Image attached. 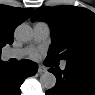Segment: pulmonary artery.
I'll return each mask as SVG.
<instances>
[{
    "instance_id": "e3ab8cb5",
    "label": "pulmonary artery",
    "mask_w": 95,
    "mask_h": 95,
    "mask_svg": "<svg viewBox=\"0 0 95 95\" xmlns=\"http://www.w3.org/2000/svg\"><path fill=\"white\" fill-rule=\"evenodd\" d=\"M50 35V27L45 22H37L33 26V38L36 42H41L46 40ZM25 54V51L18 50V49H12L9 51H6L4 53L5 59H20ZM66 67V62H62L61 68L64 69Z\"/></svg>"
}]
</instances>
